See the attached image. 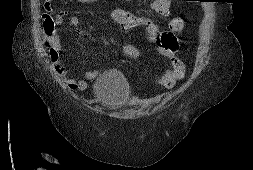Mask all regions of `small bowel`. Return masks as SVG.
<instances>
[{"label":"small bowel","mask_w":253,"mask_h":170,"mask_svg":"<svg viewBox=\"0 0 253 170\" xmlns=\"http://www.w3.org/2000/svg\"><path fill=\"white\" fill-rule=\"evenodd\" d=\"M82 2L96 1V0H80ZM172 0H153L150 3V8L163 17L170 16V6ZM45 9L52 11L51 0H45ZM67 12L62 11L55 15V24L60 25L63 23ZM111 20L120 26L123 32H128L137 28H144L146 38L149 42L157 45V51L160 55L168 60V67L164 74L154 77V82L163 88H171L177 81L181 80L185 76V65L183 61L176 55L179 48V41L174 36L173 32H178L183 29V19L176 17L171 19L169 23L170 32H166L160 29V27L151 19L139 17L133 15L122 8H114L110 13ZM68 22L71 26L77 27L79 25V18L77 16H69ZM179 22L181 27H175V23ZM78 36L84 37L83 31L77 32ZM47 41L50 45L58 48L59 40L57 36V29L52 30L46 34ZM124 52L132 59H136L139 56V51L131 44L123 45ZM55 71L63 78H66L67 86L72 90H85L89 83L98 75L97 71H86L81 78L74 79L68 78V70L60 62L55 61Z\"/></svg>","instance_id":"small-bowel-1"}]
</instances>
